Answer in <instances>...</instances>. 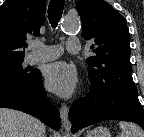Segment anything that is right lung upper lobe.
<instances>
[{"instance_id": "cb5924a9", "label": "right lung upper lobe", "mask_w": 144, "mask_h": 137, "mask_svg": "<svg viewBox=\"0 0 144 137\" xmlns=\"http://www.w3.org/2000/svg\"><path fill=\"white\" fill-rule=\"evenodd\" d=\"M45 0H6L0 6V67L23 60L28 35L39 36Z\"/></svg>"}]
</instances>
